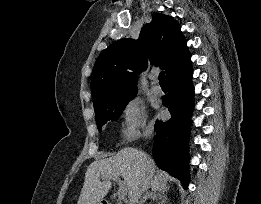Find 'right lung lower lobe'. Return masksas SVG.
I'll return each mask as SVG.
<instances>
[{
  "label": "right lung lower lobe",
  "mask_w": 261,
  "mask_h": 204,
  "mask_svg": "<svg viewBox=\"0 0 261 204\" xmlns=\"http://www.w3.org/2000/svg\"><path fill=\"white\" fill-rule=\"evenodd\" d=\"M191 78V61L168 77L169 93L164 96L163 104L171 119L166 123L156 122L152 149L158 167L181 180L184 188L189 183L188 137L194 93Z\"/></svg>",
  "instance_id": "right-lung-lower-lobe-1"
}]
</instances>
